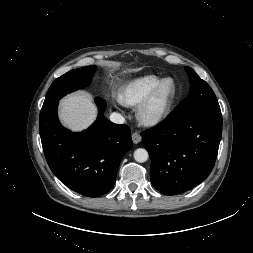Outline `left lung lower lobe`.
<instances>
[{
    "mask_svg": "<svg viewBox=\"0 0 253 253\" xmlns=\"http://www.w3.org/2000/svg\"><path fill=\"white\" fill-rule=\"evenodd\" d=\"M141 135L151 157L152 185L165 195H176L194 188L210 174L222 136V115L169 116Z\"/></svg>",
    "mask_w": 253,
    "mask_h": 253,
    "instance_id": "left-lung-lower-lobe-1",
    "label": "left lung lower lobe"
}]
</instances>
